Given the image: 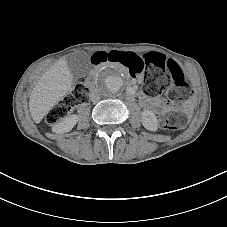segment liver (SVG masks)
I'll use <instances>...</instances> for the list:
<instances>
[{"mask_svg":"<svg viewBox=\"0 0 227 227\" xmlns=\"http://www.w3.org/2000/svg\"><path fill=\"white\" fill-rule=\"evenodd\" d=\"M73 75L65 58H61L36 82L29 98V111L38 124L71 90Z\"/></svg>","mask_w":227,"mask_h":227,"instance_id":"liver-1","label":"liver"}]
</instances>
